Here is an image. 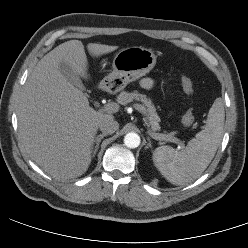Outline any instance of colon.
<instances>
[{"mask_svg":"<svg viewBox=\"0 0 248 248\" xmlns=\"http://www.w3.org/2000/svg\"><path fill=\"white\" fill-rule=\"evenodd\" d=\"M181 85L186 93L191 94L193 92V84L189 78L183 77L181 81ZM193 123H194V114L192 110H188L185 112V114L182 117V124L186 127H189Z\"/></svg>","mask_w":248,"mask_h":248,"instance_id":"colon-1","label":"colon"}]
</instances>
